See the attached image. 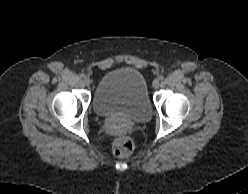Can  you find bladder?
I'll use <instances>...</instances> for the list:
<instances>
[{
	"label": "bladder",
	"mask_w": 248,
	"mask_h": 194,
	"mask_svg": "<svg viewBox=\"0 0 248 194\" xmlns=\"http://www.w3.org/2000/svg\"><path fill=\"white\" fill-rule=\"evenodd\" d=\"M93 107L102 117L119 116L134 122L148 120L152 106L145 76L131 67L107 72L96 86Z\"/></svg>",
	"instance_id": "bladder-1"
}]
</instances>
